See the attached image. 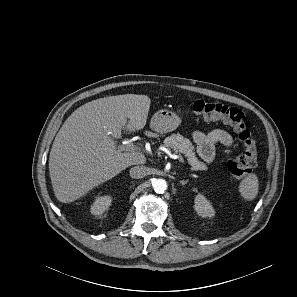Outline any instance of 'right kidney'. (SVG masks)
Segmentation results:
<instances>
[{"mask_svg": "<svg viewBox=\"0 0 297 297\" xmlns=\"http://www.w3.org/2000/svg\"><path fill=\"white\" fill-rule=\"evenodd\" d=\"M112 198L108 195L97 197L91 206L93 215H101L111 205Z\"/></svg>", "mask_w": 297, "mask_h": 297, "instance_id": "ca27d5eb", "label": "right kidney"}]
</instances>
